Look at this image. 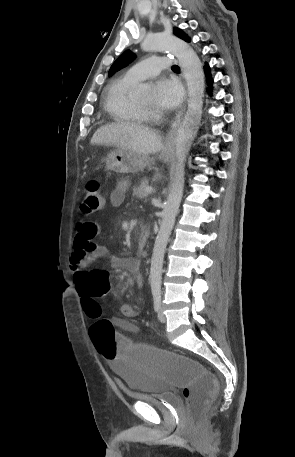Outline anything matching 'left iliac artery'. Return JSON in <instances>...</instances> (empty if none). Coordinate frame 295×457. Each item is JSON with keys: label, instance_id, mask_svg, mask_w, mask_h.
I'll list each match as a JSON object with an SVG mask.
<instances>
[{"label": "left iliac artery", "instance_id": "left-iliac-artery-1", "mask_svg": "<svg viewBox=\"0 0 295 457\" xmlns=\"http://www.w3.org/2000/svg\"><path fill=\"white\" fill-rule=\"evenodd\" d=\"M153 299H154V308L156 311H158L161 306V295L159 293H154Z\"/></svg>", "mask_w": 295, "mask_h": 457}]
</instances>
